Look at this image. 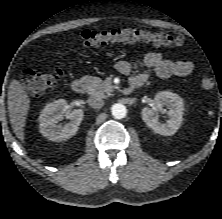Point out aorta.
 I'll use <instances>...</instances> for the list:
<instances>
[{
	"mask_svg": "<svg viewBox=\"0 0 222 219\" xmlns=\"http://www.w3.org/2000/svg\"><path fill=\"white\" fill-rule=\"evenodd\" d=\"M111 112L114 118L122 119L126 116L127 110L123 104L117 103L112 106Z\"/></svg>",
	"mask_w": 222,
	"mask_h": 219,
	"instance_id": "1",
	"label": "aorta"
}]
</instances>
